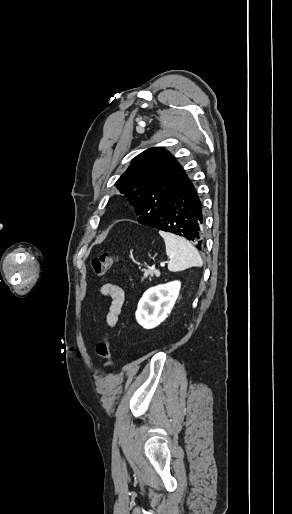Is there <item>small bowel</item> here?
<instances>
[{"label": "small bowel", "mask_w": 292, "mask_h": 514, "mask_svg": "<svg viewBox=\"0 0 292 514\" xmlns=\"http://www.w3.org/2000/svg\"><path fill=\"white\" fill-rule=\"evenodd\" d=\"M101 295L108 297L110 302L106 312V323L113 328L117 325L125 302L124 289L116 284L106 283L101 287Z\"/></svg>", "instance_id": "c3829d8e"}]
</instances>
